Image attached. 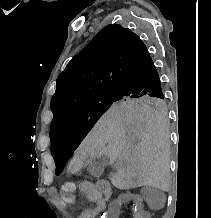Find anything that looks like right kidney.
Wrapping results in <instances>:
<instances>
[{"label":"right kidney","mask_w":211,"mask_h":218,"mask_svg":"<svg viewBox=\"0 0 211 218\" xmlns=\"http://www.w3.org/2000/svg\"><path fill=\"white\" fill-rule=\"evenodd\" d=\"M118 201H114V206H110L107 209V214L109 218H121V206H130V209H125L126 218H143L140 213L139 202L142 198L139 197V193H118Z\"/></svg>","instance_id":"ca27d5eb"}]
</instances>
